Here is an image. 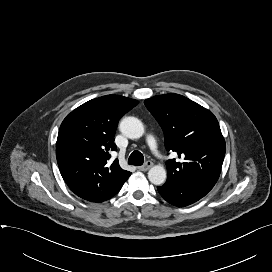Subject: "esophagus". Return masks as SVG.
Wrapping results in <instances>:
<instances>
[{"label": "esophagus", "instance_id": "esophagus-1", "mask_svg": "<svg viewBox=\"0 0 272 272\" xmlns=\"http://www.w3.org/2000/svg\"><path fill=\"white\" fill-rule=\"evenodd\" d=\"M153 163L151 161H147L144 165L139 166L138 169L140 171H147L152 167Z\"/></svg>", "mask_w": 272, "mask_h": 272}]
</instances>
